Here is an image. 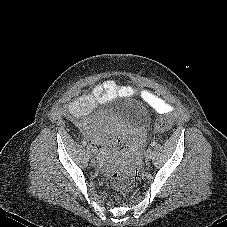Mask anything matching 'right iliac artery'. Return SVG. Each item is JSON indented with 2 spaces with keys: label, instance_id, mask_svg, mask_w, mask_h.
I'll list each match as a JSON object with an SVG mask.
<instances>
[{
  "label": "right iliac artery",
  "instance_id": "1",
  "mask_svg": "<svg viewBox=\"0 0 227 227\" xmlns=\"http://www.w3.org/2000/svg\"><path fill=\"white\" fill-rule=\"evenodd\" d=\"M82 144H83L84 146H86L87 143H86L85 140H83V141H82Z\"/></svg>",
  "mask_w": 227,
  "mask_h": 227
}]
</instances>
